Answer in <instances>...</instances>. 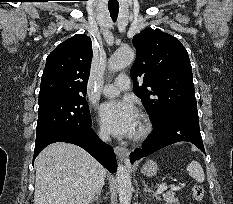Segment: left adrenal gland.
Here are the masks:
<instances>
[{"label":"left adrenal gland","mask_w":233,"mask_h":204,"mask_svg":"<svg viewBox=\"0 0 233 204\" xmlns=\"http://www.w3.org/2000/svg\"><path fill=\"white\" fill-rule=\"evenodd\" d=\"M143 185H144L145 192H152L151 189H149L148 186L146 185L145 181H143ZM152 193H153V197H155L156 199H160L154 192Z\"/></svg>","instance_id":"a2214340"}]
</instances>
